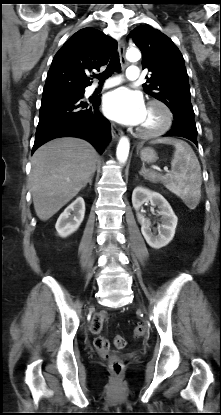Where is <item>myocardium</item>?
<instances>
[{
    "label": "myocardium",
    "mask_w": 221,
    "mask_h": 415,
    "mask_svg": "<svg viewBox=\"0 0 221 415\" xmlns=\"http://www.w3.org/2000/svg\"><path fill=\"white\" fill-rule=\"evenodd\" d=\"M153 106L158 107L161 110L163 114L162 123L157 128L151 130H145L138 127L136 132L140 137L153 138L160 136L167 132L173 123V113L166 103L158 99H152L147 103V107Z\"/></svg>",
    "instance_id": "1"
}]
</instances>
